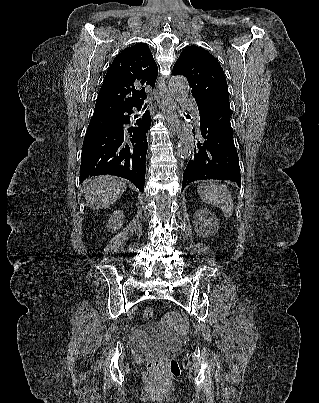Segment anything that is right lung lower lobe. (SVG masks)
I'll list each match as a JSON object with an SVG mask.
<instances>
[{"label": "right lung lower lobe", "mask_w": 319, "mask_h": 403, "mask_svg": "<svg viewBox=\"0 0 319 403\" xmlns=\"http://www.w3.org/2000/svg\"><path fill=\"white\" fill-rule=\"evenodd\" d=\"M140 109V105L133 106ZM103 114H94L83 142L80 179L110 174L133 182L144 191L145 159L148 148L146 133L151 125L150 112L139 118L135 126L130 123L132 108Z\"/></svg>", "instance_id": "98d812e1"}]
</instances>
